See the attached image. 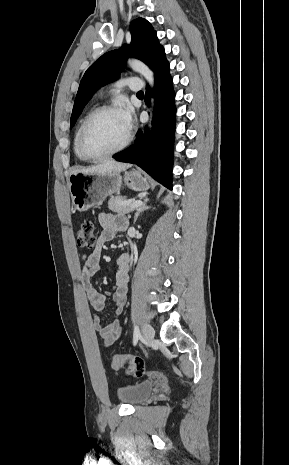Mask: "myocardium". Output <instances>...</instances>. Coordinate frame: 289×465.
Here are the masks:
<instances>
[{"mask_svg":"<svg viewBox=\"0 0 289 465\" xmlns=\"http://www.w3.org/2000/svg\"><path fill=\"white\" fill-rule=\"evenodd\" d=\"M116 111H119V109L113 105H102V106L95 108L86 117L85 121L83 122L81 131H80V136H79V151L84 159L88 161H97V160H100V159H103L109 156H113L123 151L130 145L132 141V134L129 131L125 141L120 146L114 149H111V150H108L102 153H92L88 149V136H89V132H90L93 122L96 120L98 116H100L103 113L116 112Z\"/></svg>","mask_w":289,"mask_h":465,"instance_id":"f54148a6","label":"myocardium"}]
</instances>
